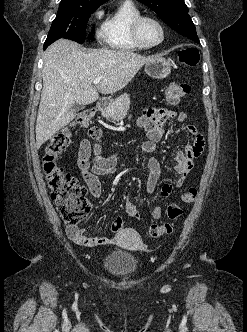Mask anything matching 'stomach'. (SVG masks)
Segmentation results:
<instances>
[{
    "label": "stomach",
    "instance_id": "obj_1",
    "mask_svg": "<svg viewBox=\"0 0 247 332\" xmlns=\"http://www.w3.org/2000/svg\"><path fill=\"white\" fill-rule=\"evenodd\" d=\"M145 72L150 77L164 79L171 72L170 61L162 57H154L145 65Z\"/></svg>",
    "mask_w": 247,
    "mask_h": 332
}]
</instances>
